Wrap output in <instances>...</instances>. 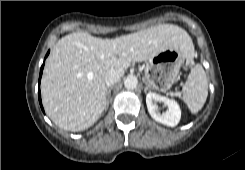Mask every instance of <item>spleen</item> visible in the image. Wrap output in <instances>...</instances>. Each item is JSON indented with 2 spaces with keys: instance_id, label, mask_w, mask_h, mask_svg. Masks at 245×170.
Here are the masks:
<instances>
[{
  "instance_id": "spleen-1",
  "label": "spleen",
  "mask_w": 245,
  "mask_h": 170,
  "mask_svg": "<svg viewBox=\"0 0 245 170\" xmlns=\"http://www.w3.org/2000/svg\"><path fill=\"white\" fill-rule=\"evenodd\" d=\"M208 96V82L205 71L196 64L188 75L182 88V99L191 113H198L204 106Z\"/></svg>"
}]
</instances>
